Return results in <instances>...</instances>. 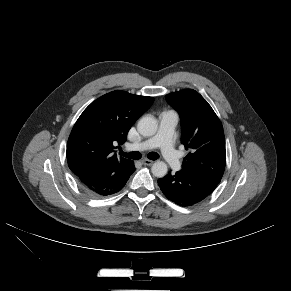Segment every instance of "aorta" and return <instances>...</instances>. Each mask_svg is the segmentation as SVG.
I'll return each instance as SVG.
<instances>
[{"instance_id":"obj_1","label":"aorta","mask_w":291,"mask_h":291,"mask_svg":"<svg viewBox=\"0 0 291 291\" xmlns=\"http://www.w3.org/2000/svg\"><path fill=\"white\" fill-rule=\"evenodd\" d=\"M158 128L156 119L153 116L147 115L142 117L137 125L138 132L146 137L153 136ZM151 171L154 176L162 178L167 174L168 167L163 161H157L152 165Z\"/></svg>"}]
</instances>
